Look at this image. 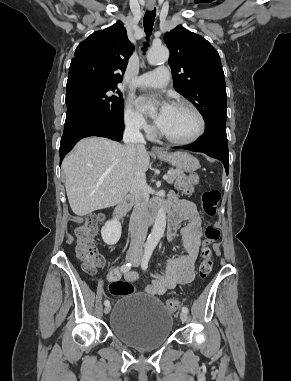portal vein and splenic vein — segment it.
<instances>
[{
	"instance_id": "portal-vein-and-splenic-vein-1",
	"label": "portal vein and splenic vein",
	"mask_w": 291,
	"mask_h": 381,
	"mask_svg": "<svg viewBox=\"0 0 291 381\" xmlns=\"http://www.w3.org/2000/svg\"><path fill=\"white\" fill-rule=\"evenodd\" d=\"M167 178H168L167 175H164V176H163V179H164V180H167Z\"/></svg>"
}]
</instances>
